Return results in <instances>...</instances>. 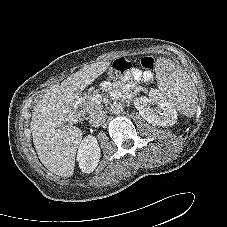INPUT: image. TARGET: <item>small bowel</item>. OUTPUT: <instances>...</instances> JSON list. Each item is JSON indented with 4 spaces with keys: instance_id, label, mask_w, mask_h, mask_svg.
<instances>
[{
    "instance_id": "c3829d8e",
    "label": "small bowel",
    "mask_w": 227,
    "mask_h": 227,
    "mask_svg": "<svg viewBox=\"0 0 227 227\" xmlns=\"http://www.w3.org/2000/svg\"><path fill=\"white\" fill-rule=\"evenodd\" d=\"M133 78L135 80H144V81H150L152 80V74L149 72H141L139 69H134L133 70Z\"/></svg>"
}]
</instances>
